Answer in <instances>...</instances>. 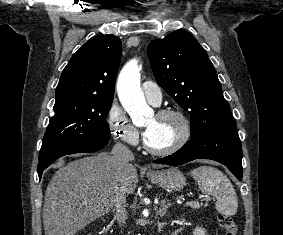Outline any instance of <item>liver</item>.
Segmentation results:
<instances>
[{
  "label": "liver",
  "instance_id": "obj_1",
  "mask_svg": "<svg viewBox=\"0 0 283 235\" xmlns=\"http://www.w3.org/2000/svg\"><path fill=\"white\" fill-rule=\"evenodd\" d=\"M58 166L45 193L44 231L45 235H75L113 208L119 175L108 154L88 156ZM124 184L127 194L135 191L138 184L135 166L128 168Z\"/></svg>",
  "mask_w": 283,
  "mask_h": 235
}]
</instances>
